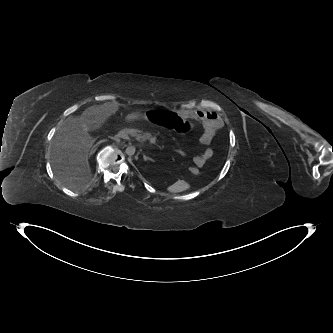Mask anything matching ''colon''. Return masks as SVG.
Returning <instances> with one entry per match:
<instances>
[{
  "label": "colon",
  "mask_w": 333,
  "mask_h": 333,
  "mask_svg": "<svg viewBox=\"0 0 333 333\" xmlns=\"http://www.w3.org/2000/svg\"><path fill=\"white\" fill-rule=\"evenodd\" d=\"M145 120L150 125H159L163 129H174L181 133H188L193 130V124L188 120H181L179 115L173 111L150 108L145 113ZM189 173L198 174L197 168H189Z\"/></svg>",
  "instance_id": "5ec220e1"
}]
</instances>
